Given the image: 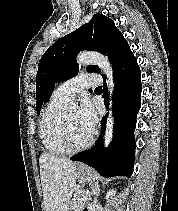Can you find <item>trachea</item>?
I'll return each mask as SVG.
<instances>
[{"instance_id":"1","label":"trachea","mask_w":178,"mask_h":211,"mask_svg":"<svg viewBox=\"0 0 178 211\" xmlns=\"http://www.w3.org/2000/svg\"><path fill=\"white\" fill-rule=\"evenodd\" d=\"M101 89H102V87H100V86L96 88V90H101Z\"/></svg>"}]
</instances>
